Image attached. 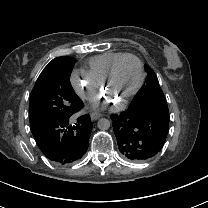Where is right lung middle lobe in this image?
Listing matches in <instances>:
<instances>
[{"instance_id":"dd1d6c3e","label":"right lung middle lobe","mask_w":208,"mask_h":208,"mask_svg":"<svg viewBox=\"0 0 208 208\" xmlns=\"http://www.w3.org/2000/svg\"><path fill=\"white\" fill-rule=\"evenodd\" d=\"M74 62L72 57H57L42 71L30 95V123L71 115L81 108L82 101L70 83Z\"/></svg>"}]
</instances>
